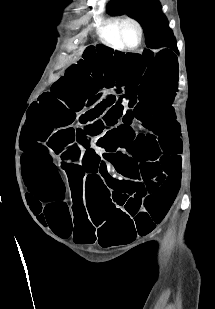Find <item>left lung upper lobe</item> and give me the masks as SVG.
I'll return each mask as SVG.
<instances>
[{
  "instance_id": "left-lung-upper-lobe-1",
  "label": "left lung upper lobe",
  "mask_w": 215,
  "mask_h": 309,
  "mask_svg": "<svg viewBox=\"0 0 215 309\" xmlns=\"http://www.w3.org/2000/svg\"><path fill=\"white\" fill-rule=\"evenodd\" d=\"M108 10L134 17L144 29L147 47H176L175 37L158 0H112Z\"/></svg>"
}]
</instances>
